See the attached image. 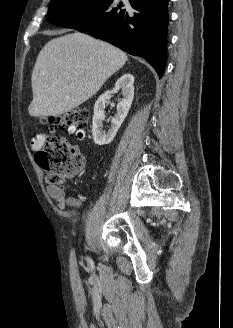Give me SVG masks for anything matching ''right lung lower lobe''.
<instances>
[{
	"label": "right lung lower lobe",
	"instance_id": "98d812e1",
	"mask_svg": "<svg viewBox=\"0 0 233 328\" xmlns=\"http://www.w3.org/2000/svg\"><path fill=\"white\" fill-rule=\"evenodd\" d=\"M169 0H98L57 20L107 41L134 56L145 58L162 77L166 62Z\"/></svg>",
	"mask_w": 233,
	"mask_h": 328
}]
</instances>
